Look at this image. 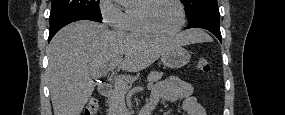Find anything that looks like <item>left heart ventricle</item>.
I'll use <instances>...</instances> for the list:
<instances>
[{
  "label": "left heart ventricle",
  "instance_id": "1",
  "mask_svg": "<svg viewBox=\"0 0 285 115\" xmlns=\"http://www.w3.org/2000/svg\"><path fill=\"white\" fill-rule=\"evenodd\" d=\"M147 15L153 27L163 32L175 30L180 22L177 5L168 0L154 3Z\"/></svg>",
  "mask_w": 285,
  "mask_h": 115
}]
</instances>
